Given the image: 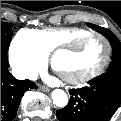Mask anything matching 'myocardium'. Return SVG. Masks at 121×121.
Wrapping results in <instances>:
<instances>
[{
  "label": "myocardium",
  "mask_w": 121,
  "mask_h": 121,
  "mask_svg": "<svg viewBox=\"0 0 121 121\" xmlns=\"http://www.w3.org/2000/svg\"><path fill=\"white\" fill-rule=\"evenodd\" d=\"M92 38H99L105 44V57L102 64L95 70L90 71L85 74H71V75H62L60 74L55 66V60L59 56V54L66 52V53H74L76 49H78L83 43L87 42ZM111 56V44L106 36L100 33H86L80 36L76 42L67 45V46H59L57 47L50 56V65L54 72L58 73L61 78L69 84H77L89 81L97 76H99L107 67Z\"/></svg>",
  "instance_id": "obj_1"
}]
</instances>
